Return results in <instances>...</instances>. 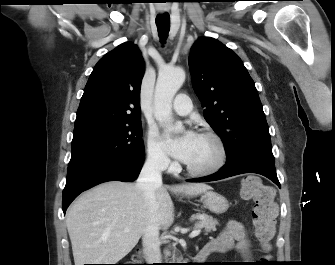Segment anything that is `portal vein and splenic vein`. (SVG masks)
Masks as SVG:
<instances>
[{
	"instance_id": "obj_1",
	"label": "portal vein and splenic vein",
	"mask_w": 335,
	"mask_h": 265,
	"mask_svg": "<svg viewBox=\"0 0 335 265\" xmlns=\"http://www.w3.org/2000/svg\"><path fill=\"white\" fill-rule=\"evenodd\" d=\"M200 230L199 229H196V230H193L191 233H190V237L193 238V237H196L200 234Z\"/></svg>"
}]
</instances>
